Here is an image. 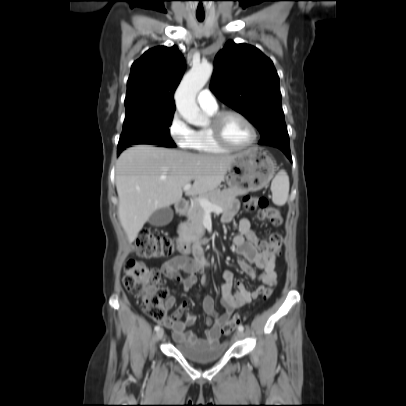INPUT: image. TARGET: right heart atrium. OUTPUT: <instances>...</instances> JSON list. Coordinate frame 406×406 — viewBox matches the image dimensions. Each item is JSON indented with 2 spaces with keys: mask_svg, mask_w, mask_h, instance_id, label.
Returning a JSON list of instances; mask_svg holds the SVG:
<instances>
[{
  "mask_svg": "<svg viewBox=\"0 0 406 406\" xmlns=\"http://www.w3.org/2000/svg\"><path fill=\"white\" fill-rule=\"evenodd\" d=\"M169 134L179 147L188 148L193 138L194 130L182 115L178 111H175L170 119Z\"/></svg>",
  "mask_w": 406,
  "mask_h": 406,
  "instance_id": "1",
  "label": "right heart atrium"
}]
</instances>
